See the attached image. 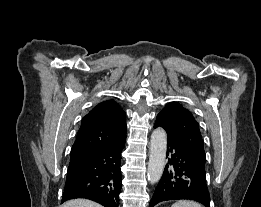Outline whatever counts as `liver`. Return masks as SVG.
<instances>
[{
	"label": "liver",
	"mask_w": 261,
	"mask_h": 207,
	"mask_svg": "<svg viewBox=\"0 0 261 207\" xmlns=\"http://www.w3.org/2000/svg\"><path fill=\"white\" fill-rule=\"evenodd\" d=\"M61 207H103V206L87 199H75L64 203Z\"/></svg>",
	"instance_id": "1"
}]
</instances>
